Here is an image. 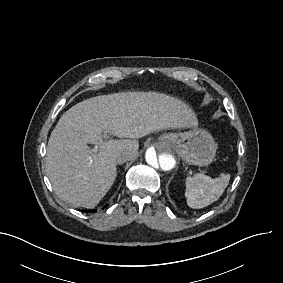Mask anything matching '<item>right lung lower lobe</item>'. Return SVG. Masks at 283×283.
Instances as JSON below:
<instances>
[{
    "label": "right lung lower lobe",
    "instance_id": "1",
    "mask_svg": "<svg viewBox=\"0 0 283 283\" xmlns=\"http://www.w3.org/2000/svg\"><path fill=\"white\" fill-rule=\"evenodd\" d=\"M105 207H107V205ZM85 212H95V210H88V211H85Z\"/></svg>",
    "mask_w": 283,
    "mask_h": 283
}]
</instances>
